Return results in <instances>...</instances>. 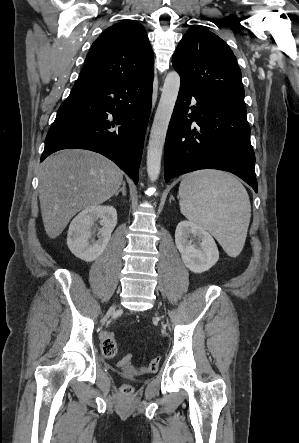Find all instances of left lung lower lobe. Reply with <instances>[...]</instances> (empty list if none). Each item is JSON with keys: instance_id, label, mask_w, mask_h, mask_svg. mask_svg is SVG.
<instances>
[{"instance_id": "1", "label": "left lung lower lobe", "mask_w": 299, "mask_h": 443, "mask_svg": "<svg viewBox=\"0 0 299 443\" xmlns=\"http://www.w3.org/2000/svg\"><path fill=\"white\" fill-rule=\"evenodd\" d=\"M254 164L246 108L181 81L165 142V181L199 169H219L257 192Z\"/></svg>"}]
</instances>
